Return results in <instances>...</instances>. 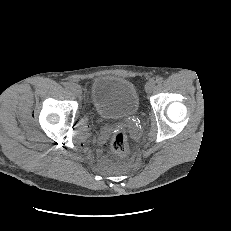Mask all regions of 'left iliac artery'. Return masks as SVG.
Returning a JSON list of instances; mask_svg holds the SVG:
<instances>
[{
	"label": "left iliac artery",
	"instance_id": "left-iliac-artery-1",
	"mask_svg": "<svg viewBox=\"0 0 231 231\" xmlns=\"http://www.w3.org/2000/svg\"><path fill=\"white\" fill-rule=\"evenodd\" d=\"M155 82L157 84H161L163 82V78L162 77H157Z\"/></svg>",
	"mask_w": 231,
	"mask_h": 231
}]
</instances>
